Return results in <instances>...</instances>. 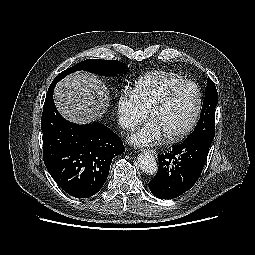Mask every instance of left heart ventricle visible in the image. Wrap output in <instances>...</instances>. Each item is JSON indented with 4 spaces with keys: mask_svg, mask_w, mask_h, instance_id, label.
I'll return each instance as SVG.
<instances>
[{
    "mask_svg": "<svg viewBox=\"0 0 255 255\" xmlns=\"http://www.w3.org/2000/svg\"><path fill=\"white\" fill-rule=\"evenodd\" d=\"M197 99L196 88L191 85L185 86L150 119L160 127L164 136L176 134L191 120L197 106Z\"/></svg>",
    "mask_w": 255,
    "mask_h": 255,
    "instance_id": "1",
    "label": "left heart ventricle"
}]
</instances>
